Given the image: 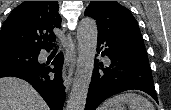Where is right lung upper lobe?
I'll return each instance as SVG.
<instances>
[{
	"instance_id": "obj_1",
	"label": "right lung upper lobe",
	"mask_w": 171,
	"mask_h": 110,
	"mask_svg": "<svg viewBox=\"0 0 171 110\" xmlns=\"http://www.w3.org/2000/svg\"><path fill=\"white\" fill-rule=\"evenodd\" d=\"M57 1H24L3 23L0 49L21 48L38 51L53 46V28L61 26Z\"/></svg>"
}]
</instances>
